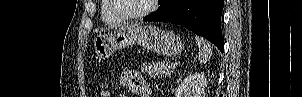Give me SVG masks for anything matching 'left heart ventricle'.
Listing matches in <instances>:
<instances>
[{
  "label": "left heart ventricle",
  "instance_id": "obj_1",
  "mask_svg": "<svg viewBox=\"0 0 302 97\" xmlns=\"http://www.w3.org/2000/svg\"><path fill=\"white\" fill-rule=\"evenodd\" d=\"M150 0H115L120 12L128 15L136 14L148 7Z\"/></svg>",
  "mask_w": 302,
  "mask_h": 97
}]
</instances>
